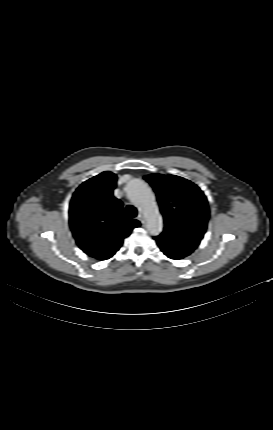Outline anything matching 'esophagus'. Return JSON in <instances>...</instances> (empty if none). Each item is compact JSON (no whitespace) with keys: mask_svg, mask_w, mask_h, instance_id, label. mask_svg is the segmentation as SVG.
Segmentation results:
<instances>
[{"mask_svg":"<svg viewBox=\"0 0 273 430\" xmlns=\"http://www.w3.org/2000/svg\"><path fill=\"white\" fill-rule=\"evenodd\" d=\"M137 219H138L141 223H144V222H145V217H144V215H143V214H139V215H138V217H137Z\"/></svg>","mask_w":273,"mask_h":430,"instance_id":"1","label":"esophagus"}]
</instances>
